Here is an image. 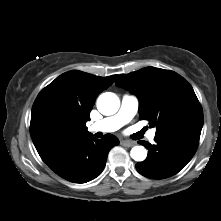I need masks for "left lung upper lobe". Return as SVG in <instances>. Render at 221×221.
Returning a JSON list of instances; mask_svg holds the SVG:
<instances>
[{
  "label": "left lung upper lobe",
  "instance_id": "5c2ea615",
  "mask_svg": "<svg viewBox=\"0 0 221 221\" xmlns=\"http://www.w3.org/2000/svg\"><path fill=\"white\" fill-rule=\"evenodd\" d=\"M115 84L138 97L140 120L156 126V136L177 131L201 133L202 107L191 85L176 72L146 67L119 75Z\"/></svg>",
  "mask_w": 221,
  "mask_h": 221
}]
</instances>
